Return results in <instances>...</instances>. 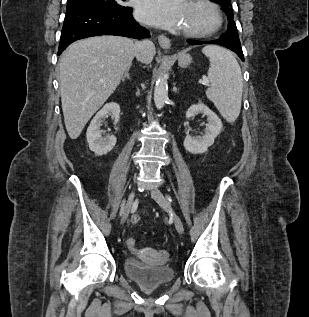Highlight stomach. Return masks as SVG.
Returning a JSON list of instances; mask_svg holds the SVG:
<instances>
[{"mask_svg": "<svg viewBox=\"0 0 309 317\" xmlns=\"http://www.w3.org/2000/svg\"><path fill=\"white\" fill-rule=\"evenodd\" d=\"M192 62V58L189 54L186 53H180L178 55V63L181 66H187Z\"/></svg>", "mask_w": 309, "mask_h": 317, "instance_id": "obj_1", "label": "stomach"}]
</instances>
